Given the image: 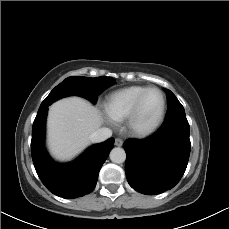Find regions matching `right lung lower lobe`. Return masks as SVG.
Segmentation results:
<instances>
[{
  "mask_svg": "<svg viewBox=\"0 0 229 229\" xmlns=\"http://www.w3.org/2000/svg\"><path fill=\"white\" fill-rule=\"evenodd\" d=\"M48 106L41 104L32 128L31 154L36 172L45 187L57 196L72 199L89 194L96 186L114 139L91 146L71 163L54 162L44 146Z\"/></svg>",
  "mask_w": 229,
  "mask_h": 229,
  "instance_id": "1",
  "label": "right lung lower lobe"
}]
</instances>
